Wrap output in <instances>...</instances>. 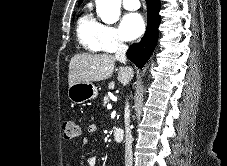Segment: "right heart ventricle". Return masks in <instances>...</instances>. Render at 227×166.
Here are the masks:
<instances>
[{"label": "right heart ventricle", "instance_id": "right-heart-ventricle-1", "mask_svg": "<svg viewBox=\"0 0 227 166\" xmlns=\"http://www.w3.org/2000/svg\"><path fill=\"white\" fill-rule=\"evenodd\" d=\"M103 26L90 11L81 14L77 21L76 33L83 49L92 53L103 51Z\"/></svg>", "mask_w": 227, "mask_h": 166}]
</instances>
